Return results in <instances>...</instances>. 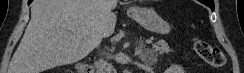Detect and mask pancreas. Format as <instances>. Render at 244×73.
Instances as JSON below:
<instances>
[{
    "instance_id": "obj_1",
    "label": "pancreas",
    "mask_w": 244,
    "mask_h": 73,
    "mask_svg": "<svg viewBox=\"0 0 244 73\" xmlns=\"http://www.w3.org/2000/svg\"><path fill=\"white\" fill-rule=\"evenodd\" d=\"M153 48L155 52L161 55L173 52V49H171L168 43L164 40H159L157 43L153 44ZM145 62H148V60H145ZM96 68L99 71L98 73H104V71L110 69V66H108L105 61L100 60L96 63Z\"/></svg>"
}]
</instances>
